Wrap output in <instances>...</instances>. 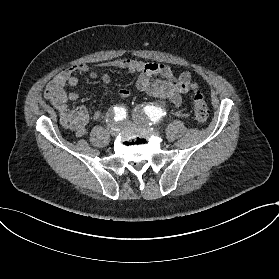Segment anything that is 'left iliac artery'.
<instances>
[{
    "label": "left iliac artery",
    "mask_w": 279,
    "mask_h": 279,
    "mask_svg": "<svg viewBox=\"0 0 279 279\" xmlns=\"http://www.w3.org/2000/svg\"><path fill=\"white\" fill-rule=\"evenodd\" d=\"M166 115V112H163L160 108L155 107H149L148 108V116L150 117L151 121L154 123L159 122L161 120V117Z\"/></svg>",
    "instance_id": "44dca946"
}]
</instances>
